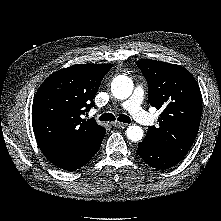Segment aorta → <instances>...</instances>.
I'll use <instances>...</instances> for the list:
<instances>
[{
    "mask_svg": "<svg viewBox=\"0 0 221 221\" xmlns=\"http://www.w3.org/2000/svg\"><path fill=\"white\" fill-rule=\"evenodd\" d=\"M111 91L115 98L127 99L133 92V82L127 76H119L112 82ZM126 134L128 139L134 142H138L143 138L142 128L136 125L129 126Z\"/></svg>",
    "mask_w": 221,
    "mask_h": 221,
    "instance_id": "762f6f07",
    "label": "aorta"
}]
</instances>
